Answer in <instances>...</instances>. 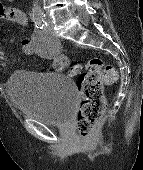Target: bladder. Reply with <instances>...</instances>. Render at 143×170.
Here are the masks:
<instances>
[{"instance_id":"31cf9c89","label":"bladder","mask_w":143,"mask_h":170,"mask_svg":"<svg viewBox=\"0 0 143 170\" xmlns=\"http://www.w3.org/2000/svg\"><path fill=\"white\" fill-rule=\"evenodd\" d=\"M6 90L22 115L49 125L69 122L78 98L73 80L53 72L16 71Z\"/></svg>"}]
</instances>
